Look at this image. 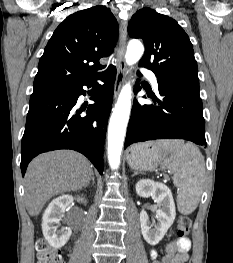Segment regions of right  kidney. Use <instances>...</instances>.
Wrapping results in <instances>:
<instances>
[{
	"mask_svg": "<svg viewBox=\"0 0 233 263\" xmlns=\"http://www.w3.org/2000/svg\"><path fill=\"white\" fill-rule=\"evenodd\" d=\"M74 198L71 195H63L55 198L46 208L42 218V231L46 241L53 248H61L69 240L72 230L70 227L59 229L60 221L64 217L66 208L71 205ZM78 202H83L81 197Z\"/></svg>",
	"mask_w": 233,
	"mask_h": 263,
	"instance_id": "1",
	"label": "right kidney"
}]
</instances>
